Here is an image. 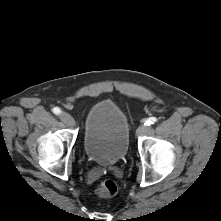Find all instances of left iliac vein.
Returning a JSON list of instances; mask_svg holds the SVG:
<instances>
[{
	"label": "left iliac vein",
	"mask_w": 221,
	"mask_h": 221,
	"mask_svg": "<svg viewBox=\"0 0 221 221\" xmlns=\"http://www.w3.org/2000/svg\"><path fill=\"white\" fill-rule=\"evenodd\" d=\"M149 129H150V127L147 125H140L137 129V135H139V136L143 135L146 132H148Z\"/></svg>",
	"instance_id": "obj_1"
}]
</instances>
